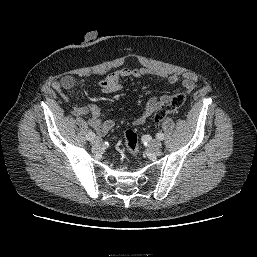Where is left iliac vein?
Listing matches in <instances>:
<instances>
[{"label":"left iliac vein","mask_w":257,"mask_h":257,"mask_svg":"<svg viewBox=\"0 0 257 257\" xmlns=\"http://www.w3.org/2000/svg\"><path fill=\"white\" fill-rule=\"evenodd\" d=\"M162 146V143L159 140H152L149 144L151 150L156 151L159 150Z\"/></svg>","instance_id":"1"}]
</instances>
